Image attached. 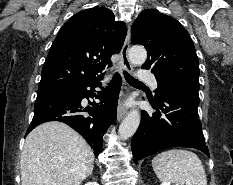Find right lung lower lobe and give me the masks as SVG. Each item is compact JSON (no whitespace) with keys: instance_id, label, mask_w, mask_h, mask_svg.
<instances>
[{"instance_id":"98d812e1","label":"right lung lower lobe","mask_w":233,"mask_h":185,"mask_svg":"<svg viewBox=\"0 0 233 185\" xmlns=\"http://www.w3.org/2000/svg\"><path fill=\"white\" fill-rule=\"evenodd\" d=\"M101 79L67 87L38 89L34 117L26 135L41 123L62 121L80 133L94 149V154L98 155L102 149L103 135L116 121L121 86V76L116 73L105 92L97 96L100 102L85 107L82 99L95 96L93 93L101 85Z\"/></svg>"}]
</instances>
